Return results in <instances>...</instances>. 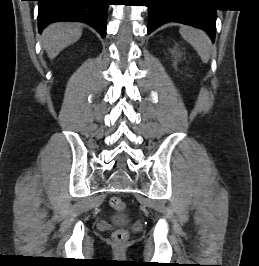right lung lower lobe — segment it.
Listing matches in <instances>:
<instances>
[{
	"instance_id": "obj_1",
	"label": "right lung lower lobe",
	"mask_w": 259,
	"mask_h": 266,
	"mask_svg": "<svg viewBox=\"0 0 259 266\" xmlns=\"http://www.w3.org/2000/svg\"><path fill=\"white\" fill-rule=\"evenodd\" d=\"M38 27L56 21H80L106 36L109 0H38Z\"/></svg>"
}]
</instances>
